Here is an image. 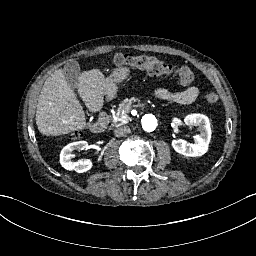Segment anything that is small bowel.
Listing matches in <instances>:
<instances>
[{
    "label": "small bowel",
    "mask_w": 256,
    "mask_h": 256,
    "mask_svg": "<svg viewBox=\"0 0 256 256\" xmlns=\"http://www.w3.org/2000/svg\"><path fill=\"white\" fill-rule=\"evenodd\" d=\"M198 93L199 90L196 86H186L182 91H170L163 88L155 91L156 97L182 105L192 103L197 98Z\"/></svg>",
    "instance_id": "1"
}]
</instances>
